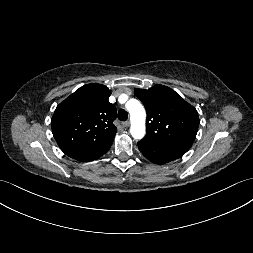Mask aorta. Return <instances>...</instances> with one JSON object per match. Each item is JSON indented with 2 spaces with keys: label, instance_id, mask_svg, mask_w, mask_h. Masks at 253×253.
Returning <instances> with one entry per match:
<instances>
[{
  "label": "aorta",
  "instance_id": "762f6f07",
  "mask_svg": "<svg viewBox=\"0 0 253 253\" xmlns=\"http://www.w3.org/2000/svg\"><path fill=\"white\" fill-rule=\"evenodd\" d=\"M126 108L131 116L130 133L132 137L135 139H142L145 135L146 112L144 107L138 100L131 99L127 102Z\"/></svg>",
  "mask_w": 253,
  "mask_h": 253
}]
</instances>
